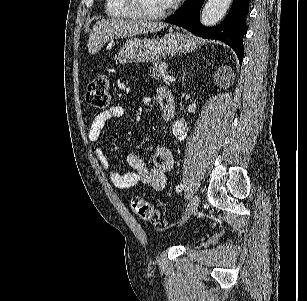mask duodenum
I'll return each mask as SVG.
<instances>
[{
	"label": "duodenum",
	"instance_id": "1",
	"mask_svg": "<svg viewBox=\"0 0 307 301\" xmlns=\"http://www.w3.org/2000/svg\"><path fill=\"white\" fill-rule=\"evenodd\" d=\"M158 102L160 105L162 117L165 120L171 119L174 116L176 108L173 95L169 91L164 90L161 93H159Z\"/></svg>",
	"mask_w": 307,
	"mask_h": 301
}]
</instances>
